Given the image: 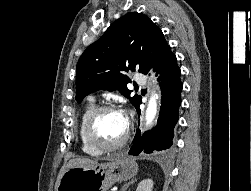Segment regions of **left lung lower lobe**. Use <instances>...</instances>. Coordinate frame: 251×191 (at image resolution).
I'll return each mask as SVG.
<instances>
[{
	"mask_svg": "<svg viewBox=\"0 0 251 191\" xmlns=\"http://www.w3.org/2000/svg\"><path fill=\"white\" fill-rule=\"evenodd\" d=\"M161 87V109L156 126L149 132L141 135L138 129L129 155L138 156L140 153H153L163 151L172 146L174 128L178 121L179 107L181 105L182 82L180 80V68L177 65L176 56L167 50L154 68ZM141 99L135 105L140 116Z\"/></svg>",
	"mask_w": 251,
	"mask_h": 191,
	"instance_id": "obj_1",
	"label": "left lung lower lobe"
}]
</instances>
